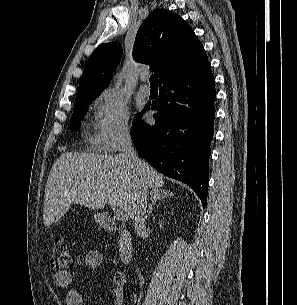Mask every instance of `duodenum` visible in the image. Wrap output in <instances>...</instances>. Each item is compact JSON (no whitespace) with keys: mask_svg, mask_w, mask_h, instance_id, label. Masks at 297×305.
<instances>
[{"mask_svg":"<svg viewBox=\"0 0 297 305\" xmlns=\"http://www.w3.org/2000/svg\"><path fill=\"white\" fill-rule=\"evenodd\" d=\"M100 224L105 229L111 232L121 233L120 252L119 257L122 263L128 264L134 257V246L128 231H120L114 219L108 214H102L100 216Z\"/></svg>","mask_w":297,"mask_h":305,"instance_id":"duodenum-1","label":"duodenum"}]
</instances>
